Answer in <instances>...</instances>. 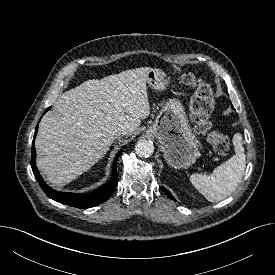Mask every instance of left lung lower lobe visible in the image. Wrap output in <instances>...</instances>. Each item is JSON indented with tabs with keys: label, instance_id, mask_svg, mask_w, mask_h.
<instances>
[{
	"label": "left lung lower lobe",
	"instance_id": "1",
	"mask_svg": "<svg viewBox=\"0 0 275 275\" xmlns=\"http://www.w3.org/2000/svg\"><path fill=\"white\" fill-rule=\"evenodd\" d=\"M162 189L169 198L174 200V197L170 194V192L168 190H166L164 187Z\"/></svg>",
	"mask_w": 275,
	"mask_h": 275
}]
</instances>
